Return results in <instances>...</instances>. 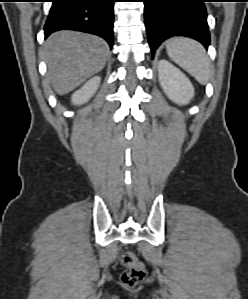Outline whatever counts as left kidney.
I'll return each mask as SVG.
<instances>
[{
	"instance_id": "1",
	"label": "left kidney",
	"mask_w": 248,
	"mask_h": 299,
	"mask_svg": "<svg viewBox=\"0 0 248 299\" xmlns=\"http://www.w3.org/2000/svg\"><path fill=\"white\" fill-rule=\"evenodd\" d=\"M161 87L170 100L185 105L194 96V87L190 80L177 67L166 60L158 62Z\"/></svg>"
}]
</instances>
